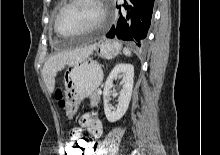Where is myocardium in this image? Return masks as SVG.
<instances>
[{"label": "myocardium", "instance_id": "myocardium-1", "mask_svg": "<svg viewBox=\"0 0 220 155\" xmlns=\"http://www.w3.org/2000/svg\"><path fill=\"white\" fill-rule=\"evenodd\" d=\"M79 0H67V2H65L60 8L59 10L57 11L56 15H55V18H54V22H53V29L55 31V33L61 37H70V36H78V35H83V34H87V33H90L94 30H97L98 28H100L106 21L107 19V8H106V5L104 3V0H92V2H94L99 10H100V16H99V19L94 23L92 24L91 26L81 30V31H78V32H75V33H71V34H63L59 31L58 29V20H59V17L61 15V13L66 9L68 8L69 6H71L72 4L78 2Z\"/></svg>", "mask_w": 220, "mask_h": 155}]
</instances>
